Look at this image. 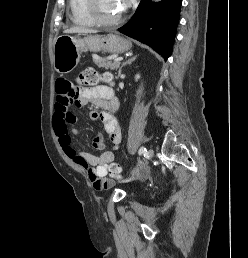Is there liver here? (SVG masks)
<instances>
[{
	"mask_svg": "<svg viewBox=\"0 0 248 258\" xmlns=\"http://www.w3.org/2000/svg\"><path fill=\"white\" fill-rule=\"evenodd\" d=\"M96 32L97 30L87 29L79 26L71 27L69 29L64 30V33H79V34H88V33H96Z\"/></svg>",
	"mask_w": 248,
	"mask_h": 258,
	"instance_id": "obj_1",
	"label": "liver"
}]
</instances>
